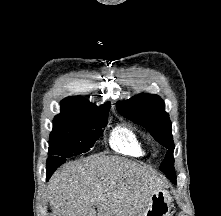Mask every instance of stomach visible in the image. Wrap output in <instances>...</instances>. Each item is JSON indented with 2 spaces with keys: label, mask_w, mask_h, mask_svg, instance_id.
<instances>
[{
  "label": "stomach",
  "mask_w": 221,
  "mask_h": 216,
  "mask_svg": "<svg viewBox=\"0 0 221 216\" xmlns=\"http://www.w3.org/2000/svg\"><path fill=\"white\" fill-rule=\"evenodd\" d=\"M172 197L167 190L154 192L142 216H169Z\"/></svg>",
  "instance_id": "obj_1"
}]
</instances>
